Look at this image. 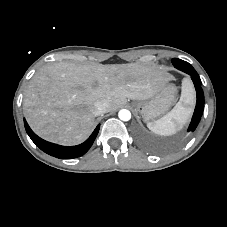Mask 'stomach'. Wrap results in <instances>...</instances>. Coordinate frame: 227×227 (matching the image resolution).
<instances>
[{
  "label": "stomach",
  "instance_id": "stomach-1",
  "mask_svg": "<svg viewBox=\"0 0 227 227\" xmlns=\"http://www.w3.org/2000/svg\"><path fill=\"white\" fill-rule=\"evenodd\" d=\"M176 95V86L167 84L153 97L133 103V107L145 122L153 121L170 109L176 101Z\"/></svg>",
  "mask_w": 227,
  "mask_h": 227
}]
</instances>
